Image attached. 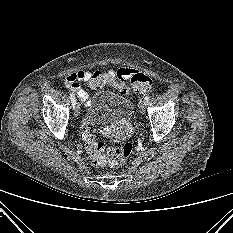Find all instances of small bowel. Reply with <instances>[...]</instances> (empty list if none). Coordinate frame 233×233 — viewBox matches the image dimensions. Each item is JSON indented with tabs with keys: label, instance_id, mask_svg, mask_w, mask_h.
I'll list each match as a JSON object with an SVG mask.
<instances>
[{
	"label": "small bowel",
	"instance_id": "1",
	"mask_svg": "<svg viewBox=\"0 0 233 233\" xmlns=\"http://www.w3.org/2000/svg\"><path fill=\"white\" fill-rule=\"evenodd\" d=\"M135 72L136 71L131 68H120L117 71L111 69L108 71V74L114 75L124 82L127 79L131 78ZM91 75L92 72L80 69L72 72L65 79V86L69 90L74 92L81 100V102L85 105L90 104V97L87 91L81 87L80 82H84L88 86V82L91 78Z\"/></svg>",
	"mask_w": 233,
	"mask_h": 233
}]
</instances>
